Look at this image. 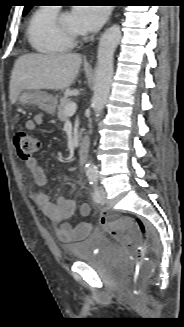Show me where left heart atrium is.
Instances as JSON below:
<instances>
[{
  "label": "left heart atrium",
  "mask_w": 184,
  "mask_h": 327,
  "mask_svg": "<svg viewBox=\"0 0 184 327\" xmlns=\"http://www.w3.org/2000/svg\"><path fill=\"white\" fill-rule=\"evenodd\" d=\"M77 23L78 30L83 33L98 30L108 16V9L98 5H83L72 12Z\"/></svg>",
  "instance_id": "39dd6f15"
}]
</instances>
